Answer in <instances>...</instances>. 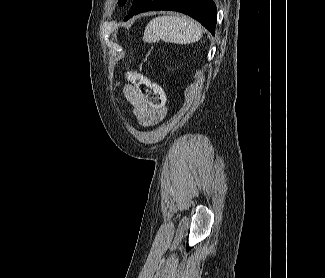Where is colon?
<instances>
[{
    "label": "colon",
    "mask_w": 325,
    "mask_h": 278,
    "mask_svg": "<svg viewBox=\"0 0 325 278\" xmlns=\"http://www.w3.org/2000/svg\"><path fill=\"white\" fill-rule=\"evenodd\" d=\"M128 79L139 89L151 108L165 110V95L158 84L135 71L129 72Z\"/></svg>",
    "instance_id": "obj_1"
}]
</instances>
